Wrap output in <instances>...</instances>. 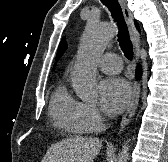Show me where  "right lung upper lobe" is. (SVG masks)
<instances>
[{
  "label": "right lung upper lobe",
  "mask_w": 168,
  "mask_h": 162,
  "mask_svg": "<svg viewBox=\"0 0 168 162\" xmlns=\"http://www.w3.org/2000/svg\"><path fill=\"white\" fill-rule=\"evenodd\" d=\"M135 24L137 26V29L139 30V26H138L137 22H135ZM66 47H67L66 46V41L63 38V40L60 42V45H59V48H58L56 60H58L62 56V54H63L64 50L66 49Z\"/></svg>",
  "instance_id": "1"
}]
</instances>
